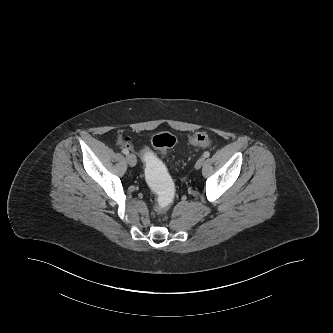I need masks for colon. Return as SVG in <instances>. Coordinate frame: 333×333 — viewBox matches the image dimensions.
<instances>
[{
  "label": "colon",
  "instance_id": "colon-1",
  "mask_svg": "<svg viewBox=\"0 0 333 333\" xmlns=\"http://www.w3.org/2000/svg\"><path fill=\"white\" fill-rule=\"evenodd\" d=\"M192 145L206 147L210 144V137L206 132H195L189 137ZM176 144L174 135L163 132L152 138V149L147 144H142L137 149V154L143 162L146 182L157 194V208L159 211L166 210L175 199L174 180L169 174L166 161L158 154H165ZM156 151V152H155Z\"/></svg>",
  "mask_w": 333,
  "mask_h": 333
}]
</instances>
